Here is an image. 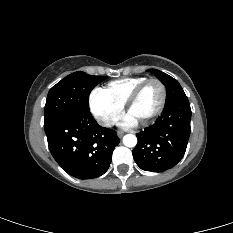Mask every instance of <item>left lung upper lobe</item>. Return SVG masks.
Listing matches in <instances>:
<instances>
[{
	"label": "left lung upper lobe",
	"instance_id": "1",
	"mask_svg": "<svg viewBox=\"0 0 233 233\" xmlns=\"http://www.w3.org/2000/svg\"><path fill=\"white\" fill-rule=\"evenodd\" d=\"M148 71L153 73L165 85L167 93L165 105H168L178 97L185 95L182 87L173 77L156 69H149Z\"/></svg>",
	"mask_w": 233,
	"mask_h": 233
}]
</instances>
